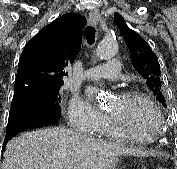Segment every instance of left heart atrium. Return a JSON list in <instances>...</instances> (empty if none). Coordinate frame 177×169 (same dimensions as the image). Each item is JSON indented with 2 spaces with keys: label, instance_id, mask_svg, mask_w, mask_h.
Instances as JSON below:
<instances>
[{
  "label": "left heart atrium",
  "instance_id": "obj_1",
  "mask_svg": "<svg viewBox=\"0 0 177 169\" xmlns=\"http://www.w3.org/2000/svg\"><path fill=\"white\" fill-rule=\"evenodd\" d=\"M94 94H95V89L90 88V89L87 90V95H88L90 98H92V97L94 96Z\"/></svg>",
  "mask_w": 177,
  "mask_h": 169
}]
</instances>
